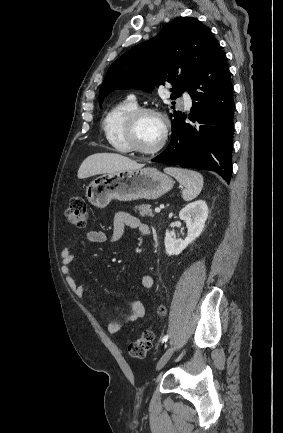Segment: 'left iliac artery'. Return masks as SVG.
<instances>
[{
    "mask_svg": "<svg viewBox=\"0 0 283 433\" xmlns=\"http://www.w3.org/2000/svg\"><path fill=\"white\" fill-rule=\"evenodd\" d=\"M168 338H169V335H165L162 339V343L166 342L168 340Z\"/></svg>",
    "mask_w": 283,
    "mask_h": 433,
    "instance_id": "44dca946",
    "label": "left iliac artery"
}]
</instances>
